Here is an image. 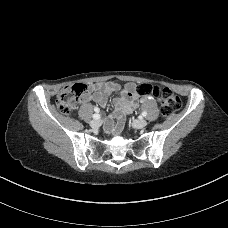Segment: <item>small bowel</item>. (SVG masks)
<instances>
[{"label": "small bowel", "mask_w": 228, "mask_h": 228, "mask_svg": "<svg viewBox=\"0 0 228 228\" xmlns=\"http://www.w3.org/2000/svg\"><path fill=\"white\" fill-rule=\"evenodd\" d=\"M113 91H121V96L114 100L113 117L116 118L118 122L115 128H113L112 119H108L105 124L107 132L120 131L123 126L124 116L133 111L139 100L141 102H146L153 99L151 95L144 96L140 99L134 83L121 85L109 81L91 84L90 91L82 97L81 101L83 103L94 101L101 107H105L107 104V97Z\"/></svg>", "instance_id": "obj_1"}]
</instances>
